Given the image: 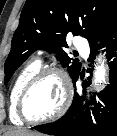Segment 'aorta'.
Masks as SVG:
<instances>
[{
  "instance_id": "aorta-1",
  "label": "aorta",
  "mask_w": 117,
  "mask_h": 136,
  "mask_svg": "<svg viewBox=\"0 0 117 136\" xmlns=\"http://www.w3.org/2000/svg\"><path fill=\"white\" fill-rule=\"evenodd\" d=\"M100 65L96 68L94 72L95 83H103L106 81V69L104 66V61L99 59Z\"/></svg>"
}]
</instances>
